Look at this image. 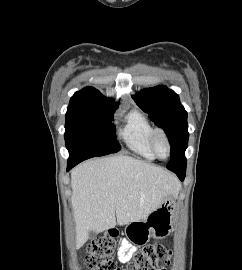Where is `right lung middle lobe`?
Returning a JSON list of instances; mask_svg holds the SVG:
<instances>
[{
	"mask_svg": "<svg viewBox=\"0 0 242 270\" xmlns=\"http://www.w3.org/2000/svg\"><path fill=\"white\" fill-rule=\"evenodd\" d=\"M117 107L94 112H67L65 123L68 163L116 153L120 146L111 122Z\"/></svg>",
	"mask_w": 242,
	"mask_h": 270,
	"instance_id": "obj_1",
	"label": "right lung middle lobe"
}]
</instances>
